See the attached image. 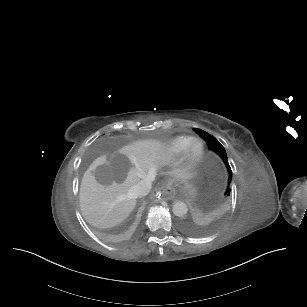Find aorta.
<instances>
[{"instance_id": "1", "label": "aorta", "mask_w": 307, "mask_h": 307, "mask_svg": "<svg viewBox=\"0 0 307 307\" xmlns=\"http://www.w3.org/2000/svg\"><path fill=\"white\" fill-rule=\"evenodd\" d=\"M187 212H188V207L184 202L178 201L174 204L173 213L175 216L183 217L187 214Z\"/></svg>"}]
</instances>
